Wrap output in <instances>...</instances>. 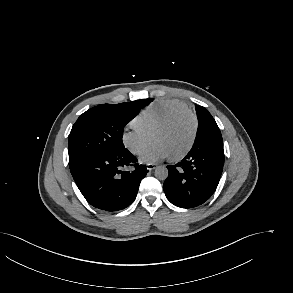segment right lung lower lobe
Masks as SVG:
<instances>
[{
	"label": "right lung lower lobe",
	"mask_w": 293,
	"mask_h": 293,
	"mask_svg": "<svg viewBox=\"0 0 293 293\" xmlns=\"http://www.w3.org/2000/svg\"><path fill=\"white\" fill-rule=\"evenodd\" d=\"M136 162V157L122 148L94 156L70 171L82 195L92 206L118 211L135 200L140 182L148 172L145 166ZM132 164H135L133 171L121 170Z\"/></svg>",
	"instance_id": "right-lung-lower-lobe-1"
}]
</instances>
